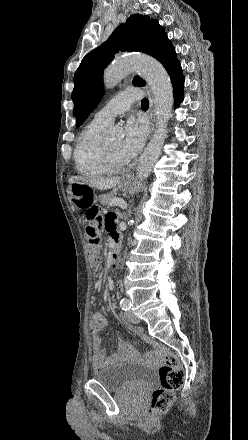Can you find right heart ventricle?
Returning <instances> with one entry per match:
<instances>
[{"instance_id": "right-heart-ventricle-1", "label": "right heart ventricle", "mask_w": 248, "mask_h": 440, "mask_svg": "<svg viewBox=\"0 0 248 440\" xmlns=\"http://www.w3.org/2000/svg\"><path fill=\"white\" fill-rule=\"evenodd\" d=\"M104 124L91 121L79 135L74 161L76 170L85 176L98 177L109 172L103 160L102 131Z\"/></svg>"}]
</instances>
